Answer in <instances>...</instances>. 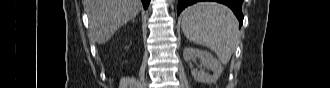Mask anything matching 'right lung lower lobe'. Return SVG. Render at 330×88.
Instances as JSON below:
<instances>
[{
    "instance_id": "right-lung-lower-lobe-1",
    "label": "right lung lower lobe",
    "mask_w": 330,
    "mask_h": 88,
    "mask_svg": "<svg viewBox=\"0 0 330 88\" xmlns=\"http://www.w3.org/2000/svg\"><path fill=\"white\" fill-rule=\"evenodd\" d=\"M142 3H143V6H144V9H147L148 8V5H149V2L150 0H141Z\"/></svg>"
}]
</instances>
